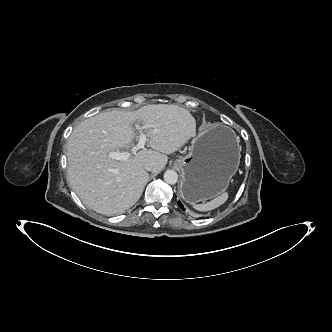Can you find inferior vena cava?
<instances>
[{
    "mask_svg": "<svg viewBox=\"0 0 332 332\" xmlns=\"http://www.w3.org/2000/svg\"><path fill=\"white\" fill-rule=\"evenodd\" d=\"M153 167H154V164L152 162H147V163L144 164V169L146 171H152Z\"/></svg>",
    "mask_w": 332,
    "mask_h": 332,
    "instance_id": "1",
    "label": "inferior vena cava"
}]
</instances>
